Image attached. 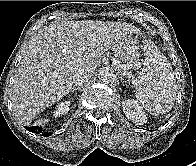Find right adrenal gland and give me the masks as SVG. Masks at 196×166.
Wrapping results in <instances>:
<instances>
[{
    "label": "right adrenal gland",
    "mask_w": 196,
    "mask_h": 166,
    "mask_svg": "<svg viewBox=\"0 0 196 166\" xmlns=\"http://www.w3.org/2000/svg\"><path fill=\"white\" fill-rule=\"evenodd\" d=\"M83 88V85H74L71 90L70 93H73L75 90H81Z\"/></svg>",
    "instance_id": "right-adrenal-gland-1"
}]
</instances>
